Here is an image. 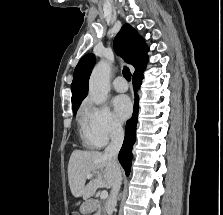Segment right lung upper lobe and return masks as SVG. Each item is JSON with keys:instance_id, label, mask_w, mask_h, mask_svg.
<instances>
[{"instance_id": "1", "label": "right lung upper lobe", "mask_w": 223, "mask_h": 215, "mask_svg": "<svg viewBox=\"0 0 223 215\" xmlns=\"http://www.w3.org/2000/svg\"><path fill=\"white\" fill-rule=\"evenodd\" d=\"M114 48L125 61L135 67V73L142 72L147 63L149 48L143 38L129 24H125L114 40ZM95 64L94 54L83 56L78 62L71 84L72 109L79 108L88 92V80Z\"/></svg>"}]
</instances>
